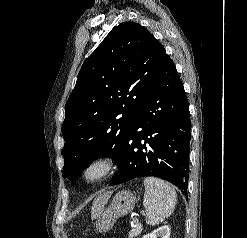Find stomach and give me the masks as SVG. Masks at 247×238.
Returning <instances> with one entry per match:
<instances>
[{
  "instance_id": "0dacf381",
  "label": "stomach",
  "mask_w": 247,
  "mask_h": 238,
  "mask_svg": "<svg viewBox=\"0 0 247 238\" xmlns=\"http://www.w3.org/2000/svg\"><path fill=\"white\" fill-rule=\"evenodd\" d=\"M136 197L133 192L123 190L118 192L108 209L100 214L96 222V230L100 233L109 231L116 220L130 213L135 206Z\"/></svg>"
}]
</instances>
